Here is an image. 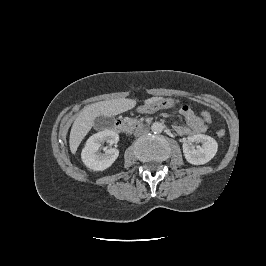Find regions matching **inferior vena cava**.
<instances>
[{
    "instance_id": "602c4592",
    "label": "inferior vena cava",
    "mask_w": 266,
    "mask_h": 266,
    "mask_svg": "<svg viewBox=\"0 0 266 266\" xmlns=\"http://www.w3.org/2000/svg\"><path fill=\"white\" fill-rule=\"evenodd\" d=\"M145 130L144 129H136L135 132H134V135L137 137V136H140Z\"/></svg>"
}]
</instances>
